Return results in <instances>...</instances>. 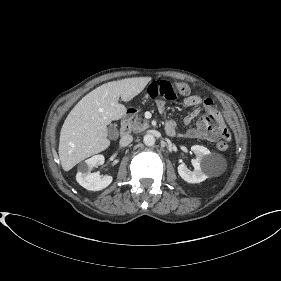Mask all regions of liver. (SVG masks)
Wrapping results in <instances>:
<instances>
[{"mask_svg": "<svg viewBox=\"0 0 281 281\" xmlns=\"http://www.w3.org/2000/svg\"><path fill=\"white\" fill-rule=\"evenodd\" d=\"M150 77L126 78L105 83L85 95L65 119L59 138V158L64 171L107 149L109 125L126 114L118 103L132 100L150 82Z\"/></svg>", "mask_w": 281, "mask_h": 281, "instance_id": "6515ba94", "label": "liver"}]
</instances>
